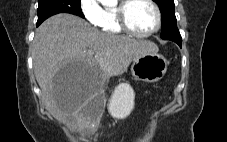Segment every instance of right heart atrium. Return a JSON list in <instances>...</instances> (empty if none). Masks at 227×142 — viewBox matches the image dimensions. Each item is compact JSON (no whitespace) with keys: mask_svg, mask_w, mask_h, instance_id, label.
Returning <instances> with one entry per match:
<instances>
[{"mask_svg":"<svg viewBox=\"0 0 227 142\" xmlns=\"http://www.w3.org/2000/svg\"><path fill=\"white\" fill-rule=\"evenodd\" d=\"M83 17L91 24L98 25L102 17V7L98 0H79Z\"/></svg>","mask_w":227,"mask_h":142,"instance_id":"d8ad5b80","label":"right heart atrium"}]
</instances>
